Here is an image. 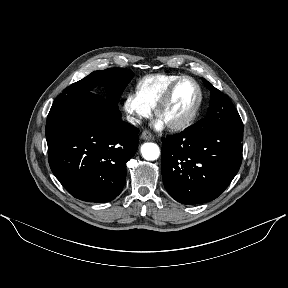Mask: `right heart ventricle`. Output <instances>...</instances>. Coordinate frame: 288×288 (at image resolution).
I'll list each match as a JSON object with an SVG mask.
<instances>
[{
  "label": "right heart ventricle",
  "instance_id": "right-heart-ventricle-1",
  "mask_svg": "<svg viewBox=\"0 0 288 288\" xmlns=\"http://www.w3.org/2000/svg\"><path fill=\"white\" fill-rule=\"evenodd\" d=\"M178 77L176 74L148 75L138 81L135 93L145 105L153 109L168 86Z\"/></svg>",
  "mask_w": 288,
  "mask_h": 288
}]
</instances>
